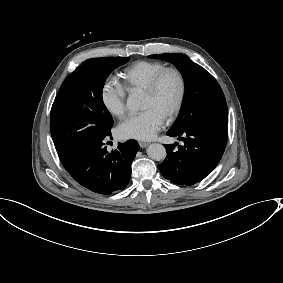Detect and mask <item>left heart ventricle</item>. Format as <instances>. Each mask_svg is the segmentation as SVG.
<instances>
[{"label": "left heart ventricle", "instance_id": "1", "mask_svg": "<svg viewBox=\"0 0 283 283\" xmlns=\"http://www.w3.org/2000/svg\"><path fill=\"white\" fill-rule=\"evenodd\" d=\"M178 90L179 83L176 75L173 73L168 74L162 80L155 94H142L141 109L152 108L165 116L174 105Z\"/></svg>", "mask_w": 283, "mask_h": 283}]
</instances>
